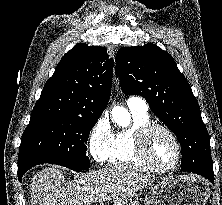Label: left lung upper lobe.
<instances>
[{
    "label": "left lung upper lobe",
    "mask_w": 222,
    "mask_h": 205,
    "mask_svg": "<svg viewBox=\"0 0 222 205\" xmlns=\"http://www.w3.org/2000/svg\"><path fill=\"white\" fill-rule=\"evenodd\" d=\"M116 73L123 92L144 97L152 112L175 133L182 155L193 152L212 165L198 102L168 52L155 44L122 47L117 52Z\"/></svg>",
    "instance_id": "left-lung-upper-lobe-1"
}]
</instances>
